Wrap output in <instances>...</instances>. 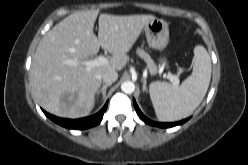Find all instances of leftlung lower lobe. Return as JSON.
I'll return each instance as SVG.
<instances>
[{
    "label": "left lung lower lobe",
    "instance_id": "0a47b994",
    "mask_svg": "<svg viewBox=\"0 0 248 165\" xmlns=\"http://www.w3.org/2000/svg\"><path fill=\"white\" fill-rule=\"evenodd\" d=\"M133 103H134L135 109H136L137 113L139 114L140 118L145 123H148V124L153 125V126H157V127H161V128H169V127H173V126H176V125H181V124H183L184 122H186L188 120V119H185V120H182V121H179V122H176V123H159V122H154V121L149 120L147 117H145L143 115V113L138 108V106L136 104V101L134 99H133Z\"/></svg>",
    "mask_w": 248,
    "mask_h": 165
}]
</instances>
